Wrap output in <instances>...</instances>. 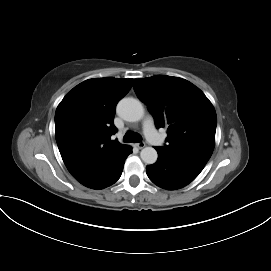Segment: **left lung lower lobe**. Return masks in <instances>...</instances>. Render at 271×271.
<instances>
[{
	"instance_id": "left-lung-lower-lobe-1",
	"label": "left lung lower lobe",
	"mask_w": 271,
	"mask_h": 271,
	"mask_svg": "<svg viewBox=\"0 0 271 271\" xmlns=\"http://www.w3.org/2000/svg\"><path fill=\"white\" fill-rule=\"evenodd\" d=\"M158 160L146 167L149 179L157 186L174 190L192 182L202 171L204 162L182 155L170 154L160 147H155Z\"/></svg>"
}]
</instances>
